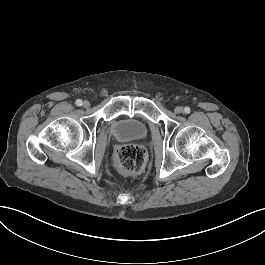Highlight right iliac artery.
<instances>
[{
    "label": "right iliac artery",
    "mask_w": 265,
    "mask_h": 265,
    "mask_svg": "<svg viewBox=\"0 0 265 265\" xmlns=\"http://www.w3.org/2000/svg\"><path fill=\"white\" fill-rule=\"evenodd\" d=\"M76 105L77 106H81L82 105V100L81 99L76 100Z\"/></svg>",
    "instance_id": "obj_1"
}]
</instances>
